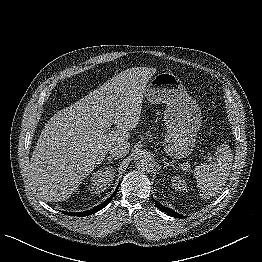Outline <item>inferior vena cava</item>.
Listing matches in <instances>:
<instances>
[{
  "label": "inferior vena cava",
  "instance_id": "inferior-vena-cava-1",
  "mask_svg": "<svg viewBox=\"0 0 262 262\" xmlns=\"http://www.w3.org/2000/svg\"><path fill=\"white\" fill-rule=\"evenodd\" d=\"M129 149H130V144L128 142L121 141V142L114 143L110 147L109 152L110 155H112V157L119 158L127 155Z\"/></svg>",
  "mask_w": 262,
  "mask_h": 262
}]
</instances>
